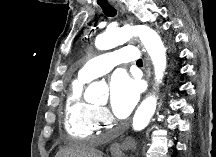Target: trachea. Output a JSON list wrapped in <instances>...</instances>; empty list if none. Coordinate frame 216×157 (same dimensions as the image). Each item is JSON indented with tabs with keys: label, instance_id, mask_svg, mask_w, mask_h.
<instances>
[{
	"label": "trachea",
	"instance_id": "3493384b",
	"mask_svg": "<svg viewBox=\"0 0 216 157\" xmlns=\"http://www.w3.org/2000/svg\"><path fill=\"white\" fill-rule=\"evenodd\" d=\"M98 5L102 8L106 16L114 17L117 14V10L112 5H110L107 0L98 2ZM136 63L137 65L143 64L141 59H139Z\"/></svg>",
	"mask_w": 216,
	"mask_h": 157
}]
</instances>
